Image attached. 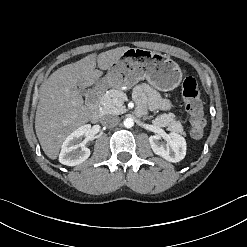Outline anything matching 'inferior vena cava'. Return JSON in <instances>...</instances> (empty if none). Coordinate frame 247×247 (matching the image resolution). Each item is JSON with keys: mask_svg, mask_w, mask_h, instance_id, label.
I'll use <instances>...</instances> for the list:
<instances>
[{"mask_svg": "<svg viewBox=\"0 0 247 247\" xmlns=\"http://www.w3.org/2000/svg\"><path fill=\"white\" fill-rule=\"evenodd\" d=\"M118 123H119V117L115 115H106L101 119V124L106 127H114Z\"/></svg>", "mask_w": 247, "mask_h": 247, "instance_id": "inferior-vena-cava-1", "label": "inferior vena cava"}]
</instances>
